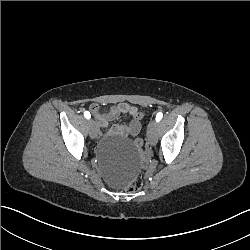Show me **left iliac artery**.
Masks as SVG:
<instances>
[{
  "label": "left iliac artery",
  "mask_w": 250,
  "mask_h": 250,
  "mask_svg": "<svg viewBox=\"0 0 250 250\" xmlns=\"http://www.w3.org/2000/svg\"><path fill=\"white\" fill-rule=\"evenodd\" d=\"M163 117V114L161 112L157 113L156 115V121L159 122Z\"/></svg>",
  "instance_id": "obj_1"
}]
</instances>
